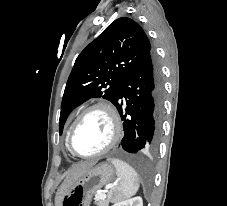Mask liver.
Wrapping results in <instances>:
<instances>
[{"instance_id":"1","label":"liver","mask_w":227,"mask_h":206,"mask_svg":"<svg viewBox=\"0 0 227 206\" xmlns=\"http://www.w3.org/2000/svg\"><path fill=\"white\" fill-rule=\"evenodd\" d=\"M94 166V163H84L75 167L65 178L64 182L58 189L55 197L56 206H61L64 197L68 195L70 189L76 181Z\"/></svg>"}]
</instances>
